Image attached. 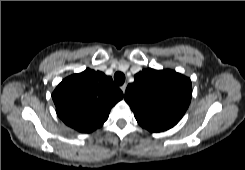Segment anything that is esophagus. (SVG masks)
<instances>
[{
    "label": "esophagus",
    "instance_id": "obj_1",
    "mask_svg": "<svg viewBox=\"0 0 245 170\" xmlns=\"http://www.w3.org/2000/svg\"><path fill=\"white\" fill-rule=\"evenodd\" d=\"M126 87H127V85H126V84H124V85H122V86H121V90H122L123 94H125Z\"/></svg>",
    "mask_w": 245,
    "mask_h": 170
}]
</instances>
